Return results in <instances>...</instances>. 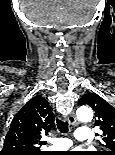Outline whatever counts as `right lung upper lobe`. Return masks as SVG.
I'll list each match as a JSON object with an SVG mask.
<instances>
[{
  "mask_svg": "<svg viewBox=\"0 0 115 155\" xmlns=\"http://www.w3.org/2000/svg\"><path fill=\"white\" fill-rule=\"evenodd\" d=\"M54 125L49 103L41 96L31 98L13 118L0 155H44L41 134Z\"/></svg>",
  "mask_w": 115,
  "mask_h": 155,
  "instance_id": "obj_1",
  "label": "right lung upper lobe"
}]
</instances>
